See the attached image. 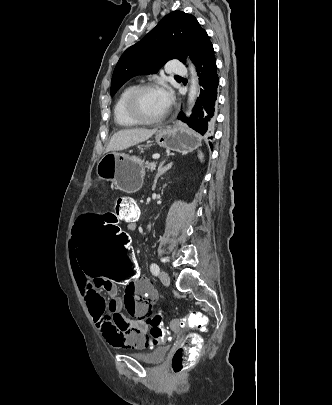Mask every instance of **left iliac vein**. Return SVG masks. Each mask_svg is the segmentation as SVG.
Wrapping results in <instances>:
<instances>
[{
	"mask_svg": "<svg viewBox=\"0 0 332 405\" xmlns=\"http://www.w3.org/2000/svg\"><path fill=\"white\" fill-rule=\"evenodd\" d=\"M159 279H160L161 283L165 286H168L170 284V277L166 271L162 270L159 273Z\"/></svg>",
	"mask_w": 332,
	"mask_h": 405,
	"instance_id": "left-iliac-vein-1",
	"label": "left iliac vein"
}]
</instances>
